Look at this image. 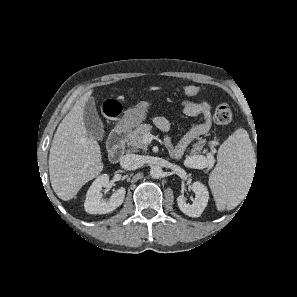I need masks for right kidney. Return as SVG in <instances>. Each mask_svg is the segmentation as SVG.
<instances>
[{"label":"right kidney","mask_w":297,"mask_h":297,"mask_svg":"<svg viewBox=\"0 0 297 297\" xmlns=\"http://www.w3.org/2000/svg\"><path fill=\"white\" fill-rule=\"evenodd\" d=\"M109 183V176L102 174L98 176L92 183L86 194L84 203L85 211L89 214H106L114 211L117 207L122 205L125 198L126 190L121 187L117 189L108 201L102 198V187H106Z\"/></svg>","instance_id":"ca27d5eb"}]
</instances>
